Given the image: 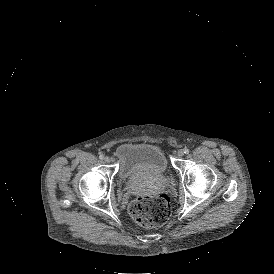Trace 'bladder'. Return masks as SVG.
<instances>
[{"label": "bladder", "instance_id": "1", "mask_svg": "<svg viewBox=\"0 0 274 274\" xmlns=\"http://www.w3.org/2000/svg\"><path fill=\"white\" fill-rule=\"evenodd\" d=\"M118 176L122 181L134 174L163 176L169 169L164 151L150 143H121L114 151Z\"/></svg>", "mask_w": 274, "mask_h": 274}]
</instances>
